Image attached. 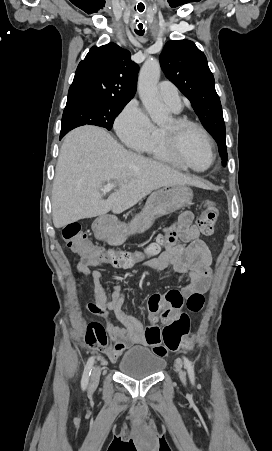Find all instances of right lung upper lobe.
<instances>
[{
	"label": "right lung upper lobe",
	"instance_id": "right-lung-upper-lobe-1",
	"mask_svg": "<svg viewBox=\"0 0 272 451\" xmlns=\"http://www.w3.org/2000/svg\"><path fill=\"white\" fill-rule=\"evenodd\" d=\"M128 50L115 43L93 46L75 72L67 102L80 99L130 101L136 92L138 66Z\"/></svg>",
	"mask_w": 272,
	"mask_h": 451
}]
</instances>
